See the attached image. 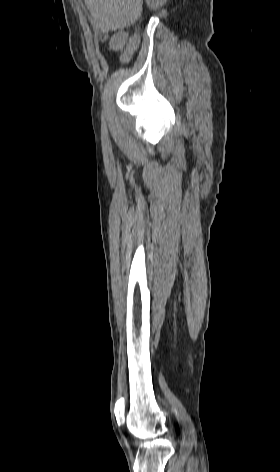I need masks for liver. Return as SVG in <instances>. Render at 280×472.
<instances>
[{
  "label": "liver",
  "instance_id": "1",
  "mask_svg": "<svg viewBox=\"0 0 280 472\" xmlns=\"http://www.w3.org/2000/svg\"><path fill=\"white\" fill-rule=\"evenodd\" d=\"M143 0H85L91 24L108 33L135 23L142 13Z\"/></svg>",
  "mask_w": 280,
  "mask_h": 472
}]
</instances>
